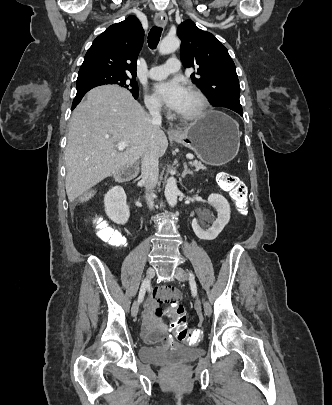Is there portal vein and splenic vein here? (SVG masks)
I'll return each mask as SVG.
<instances>
[{"instance_id": "obj_1", "label": "portal vein and splenic vein", "mask_w": 332, "mask_h": 405, "mask_svg": "<svg viewBox=\"0 0 332 405\" xmlns=\"http://www.w3.org/2000/svg\"><path fill=\"white\" fill-rule=\"evenodd\" d=\"M127 146L128 144L124 141L118 142L116 145L118 151H123ZM186 157L189 160H192L194 158L192 155H186Z\"/></svg>"}]
</instances>
